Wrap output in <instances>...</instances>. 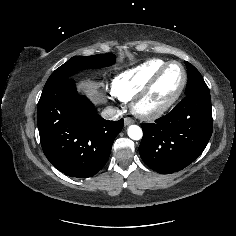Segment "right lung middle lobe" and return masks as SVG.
<instances>
[{"instance_id":"right-lung-middle-lobe-1","label":"right lung middle lobe","mask_w":236,"mask_h":236,"mask_svg":"<svg viewBox=\"0 0 236 236\" xmlns=\"http://www.w3.org/2000/svg\"><path fill=\"white\" fill-rule=\"evenodd\" d=\"M115 62L114 54H99L93 56H75L69 59L62 66L57 68L47 80L44 88L57 84L82 69L101 68L112 65Z\"/></svg>"}]
</instances>
